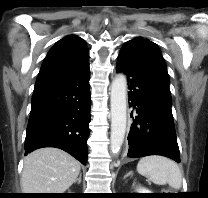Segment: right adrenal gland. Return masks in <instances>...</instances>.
Masks as SVG:
<instances>
[{"label": "right adrenal gland", "instance_id": "2a0ac1e0", "mask_svg": "<svg viewBox=\"0 0 208 198\" xmlns=\"http://www.w3.org/2000/svg\"><path fill=\"white\" fill-rule=\"evenodd\" d=\"M81 177H82V175H81V173L79 174V178L75 181V182H78V184H80L81 183Z\"/></svg>", "mask_w": 208, "mask_h": 198}]
</instances>
